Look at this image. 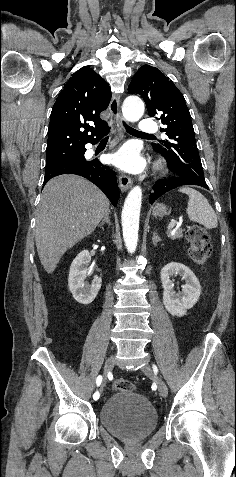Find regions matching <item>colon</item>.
I'll list each match as a JSON object with an SVG mask.
<instances>
[{
	"label": "colon",
	"mask_w": 236,
	"mask_h": 477,
	"mask_svg": "<svg viewBox=\"0 0 236 477\" xmlns=\"http://www.w3.org/2000/svg\"><path fill=\"white\" fill-rule=\"evenodd\" d=\"M186 238L189 242L188 254L192 261L198 265L204 264L211 254V245L206 230L200 226H193L188 229ZM112 387L119 391L132 392L135 390L132 382L120 378L112 381Z\"/></svg>",
	"instance_id": "colon-1"
}]
</instances>
